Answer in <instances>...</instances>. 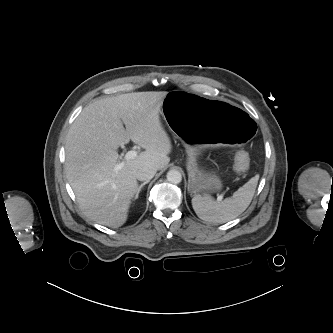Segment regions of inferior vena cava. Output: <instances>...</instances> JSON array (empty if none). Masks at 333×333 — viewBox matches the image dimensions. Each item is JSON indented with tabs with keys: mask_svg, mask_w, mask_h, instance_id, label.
<instances>
[{
	"mask_svg": "<svg viewBox=\"0 0 333 333\" xmlns=\"http://www.w3.org/2000/svg\"><path fill=\"white\" fill-rule=\"evenodd\" d=\"M157 169L153 166H141L137 169L135 173L136 179L139 181H149L151 180L154 175L156 174Z\"/></svg>",
	"mask_w": 333,
	"mask_h": 333,
	"instance_id": "obj_1",
	"label": "inferior vena cava"
}]
</instances>
